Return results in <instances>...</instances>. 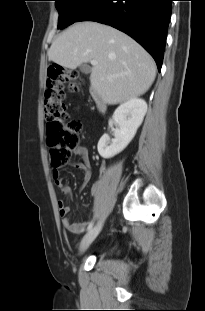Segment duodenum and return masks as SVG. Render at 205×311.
<instances>
[{
  "mask_svg": "<svg viewBox=\"0 0 205 311\" xmlns=\"http://www.w3.org/2000/svg\"><path fill=\"white\" fill-rule=\"evenodd\" d=\"M91 96L99 113L106 112L107 104L103 100L101 94L96 89L91 90Z\"/></svg>",
  "mask_w": 205,
  "mask_h": 311,
  "instance_id": "duodenum-1",
  "label": "duodenum"
}]
</instances>
